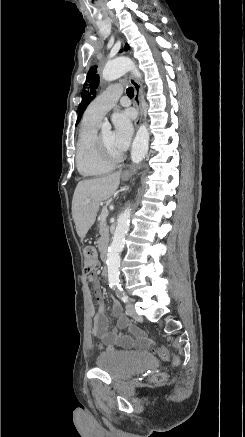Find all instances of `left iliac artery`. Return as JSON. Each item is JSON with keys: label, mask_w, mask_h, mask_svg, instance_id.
<instances>
[{"label": "left iliac artery", "mask_w": 245, "mask_h": 437, "mask_svg": "<svg viewBox=\"0 0 245 437\" xmlns=\"http://www.w3.org/2000/svg\"><path fill=\"white\" fill-rule=\"evenodd\" d=\"M116 285H117V289H118V292L120 294L121 300L123 302H127L128 301V296H126L125 293L123 292V289H122L121 285L120 284H116Z\"/></svg>", "instance_id": "1"}]
</instances>
